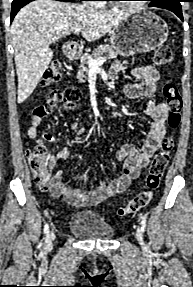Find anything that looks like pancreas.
<instances>
[{
    "mask_svg": "<svg viewBox=\"0 0 193 287\" xmlns=\"http://www.w3.org/2000/svg\"><path fill=\"white\" fill-rule=\"evenodd\" d=\"M106 54L107 58L115 59L118 56V51L116 48L110 45H101L97 47L92 54H84L80 57V64H79V70L77 72V79L79 82H84V76L87 74L90 70L89 67V58H92L94 60H98Z\"/></svg>",
    "mask_w": 193,
    "mask_h": 287,
    "instance_id": "obj_1",
    "label": "pancreas"
}]
</instances>
